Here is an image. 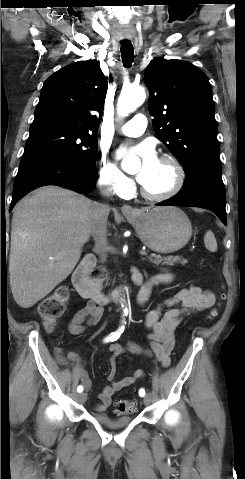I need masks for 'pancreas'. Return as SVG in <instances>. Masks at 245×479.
<instances>
[{
    "instance_id": "pancreas-1",
    "label": "pancreas",
    "mask_w": 245,
    "mask_h": 479,
    "mask_svg": "<svg viewBox=\"0 0 245 479\" xmlns=\"http://www.w3.org/2000/svg\"><path fill=\"white\" fill-rule=\"evenodd\" d=\"M149 261L155 265H170L173 266L175 263H180L182 265H185L188 263V261L184 258H181L180 256H166L162 257L160 255H155L153 258L149 257Z\"/></svg>"
}]
</instances>
